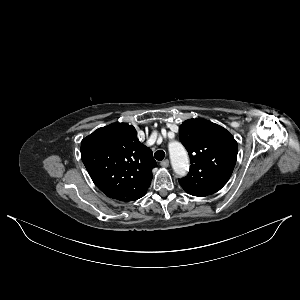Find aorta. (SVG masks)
I'll return each mask as SVG.
<instances>
[{
	"mask_svg": "<svg viewBox=\"0 0 300 300\" xmlns=\"http://www.w3.org/2000/svg\"><path fill=\"white\" fill-rule=\"evenodd\" d=\"M169 154L175 173L184 176L189 168V158L185 148L179 142H172L169 145Z\"/></svg>",
	"mask_w": 300,
	"mask_h": 300,
	"instance_id": "aorta-1",
	"label": "aorta"
}]
</instances>
